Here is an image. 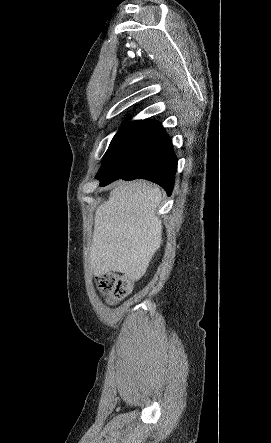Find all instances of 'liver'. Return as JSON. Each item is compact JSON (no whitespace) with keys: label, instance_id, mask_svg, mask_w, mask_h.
I'll return each mask as SVG.
<instances>
[{"label":"liver","instance_id":"obj_1","mask_svg":"<svg viewBox=\"0 0 271 443\" xmlns=\"http://www.w3.org/2000/svg\"><path fill=\"white\" fill-rule=\"evenodd\" d=\"M162 200L150 182H118L95 212L89 259L94 275L120 271L131 281L145 275L162 241L156 210Z\"/></svg>","mask_w":271,"mask_h":443}]
</instances>
